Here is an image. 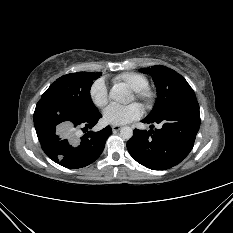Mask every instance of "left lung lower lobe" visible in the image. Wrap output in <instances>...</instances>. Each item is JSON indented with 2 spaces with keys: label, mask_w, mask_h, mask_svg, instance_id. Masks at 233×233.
I'll return each mask as SVG.
<instances>
[{
  "label": "left lung lower lobe",
  "mask_w": 233,
  "mask_h": 233,
  "mask_svg": "<svg viewBox=\"0 0 233 233\" xmlns=\"http://www.w3.org/2000/svg\"><path fill=\"white\" fill-rule=\"evenodd\" d=\"M142 122L162 124L161 129L134 130L127 142L130 155L152 170H165L179 164L192 150L200 127L199 105L194 91L185 92L159 119Z\"/></svg>",
  "instance_id": "left-lung-lower-lobe-1"
}]
</instances>
